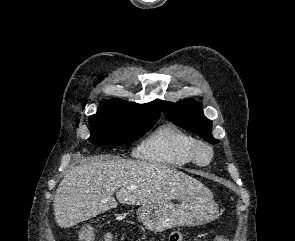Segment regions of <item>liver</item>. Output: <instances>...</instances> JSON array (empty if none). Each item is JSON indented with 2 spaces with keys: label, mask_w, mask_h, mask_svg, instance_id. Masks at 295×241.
<instances>
[{
  "label": "liver",
  "mask_w": 295,
  "mask_h": 241,
  "mask_svg": "<svg viewBox=\"0 0 295 241\" xmlns=\"http://www.w3.org/2000/svg\"><path fill=\"white\" fill-rule=\"evenodd\" d=\"M162 204L207 194L200 181L173 167L118 157H92L73 167L60 182L53 208L56 223L70 228L117 207Z\"/></svg>",
  "instance_id": "1"
}]
</instances>
